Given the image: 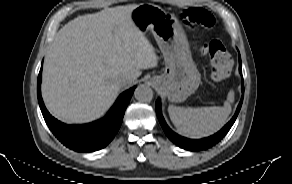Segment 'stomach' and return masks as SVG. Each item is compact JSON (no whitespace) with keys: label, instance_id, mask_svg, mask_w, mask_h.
Here are the masks:
<instances>
[{"label":"stomach","instance_id":"obj_1","mask_svg":"<svg viewBox=\"0 0 292 184\" xmlns=\"http://www.w3.org/2000/svg\"><path fill=\"white\" fill-rule=\"evenodd\" d=\"M132 21L141 31H152L156 41L166 49L173 43L179 30L176 20L162 16L157 8L141 5L131 13ZM200 76L192 61L183 51L174 46L166 58V71L157 84L161 86L172 102H180L187 98L198 86Z\"/></svg>","mask_w":292,"mask_h":184}]
</instances>
